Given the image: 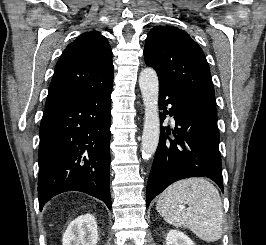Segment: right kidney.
Wrapping results in <instances>:
<instances>
[{
	"mask_svg": "<svg viewBox=\"0 0 266 245\" xmlns=\"http://www.w3.org/2000/svg\"><path fill=\"white\" fill-rule=\"evenodd\" d=\"M74 227V245H97V223L93 215H80L72 221Z\"/></svg>",
	"mask_w": 266,
	"mask_h": 245,
	"instance_id": "ca27d5eb",
	"label": "right kidney"
}]
</instances>
